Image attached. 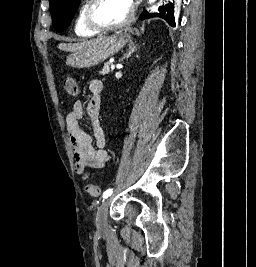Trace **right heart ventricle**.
<instances>
[{
    "label": "right heart ventricle",
    "instance_id": "1",
    "mask_svg": "<svg viewBox=\"0 0 256 267\" xmlns=\"http://www.w3.org/2000/svg\"><path fill=\"white\" fill-rule=\"evenodd\" d=\"M85 11L86 8L83 9L82 11H80V13L78 14L76 21L74 23V33L76 36H97L100 33L91 30L85 22Z\"/></svg>",
    "mask_w": 256,
    "mask_h": 267
}]
</instances>
